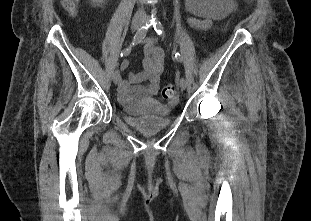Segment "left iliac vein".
<instances>
[{"mask_svg":"<svg viewBox=\"0 0 311 221\" xmlns=\"http://www.w3.org/2000/svg\"><path fill=\"white\" fill-rule=\"evenodd\" d=\"M179 85L182 90H185L187 88V81L185 78H181L179 81Z\"/></svg>","mask_w":311,"mask_h":221,"instance_id":"left-iliac-vein-1","label":"left iliac vein"}]
</instances>
